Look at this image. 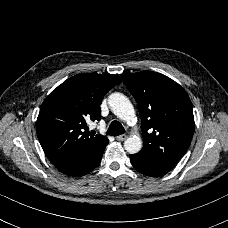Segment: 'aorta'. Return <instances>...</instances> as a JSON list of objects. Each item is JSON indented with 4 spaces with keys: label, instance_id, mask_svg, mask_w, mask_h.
<instances>
[{
    "label": "aorta",
    "instance_id": "1",
    "mask_svg": "<svg viewBox=\"0 0 228 228\" xmlns=\"http://www.w3.org/2000/svg\"><path fill=\"white\" fill-rule=\"evenodd\" d=\"M110 110L121 120H132L135 111L129 98L120 92L108 96ZM142 148V141L137 136H131L124 141V149L129 154H136Z\"/></svg>",
    "mask_w": 228,
    "mask_h": 228
}]
</instances>
